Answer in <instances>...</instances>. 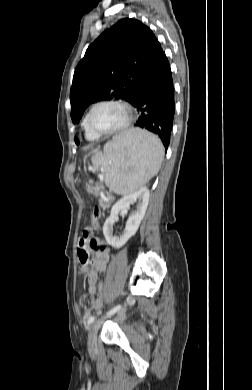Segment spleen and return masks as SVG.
<instances>
[{
    "instance_id": "1",
    "label": "spleen",
    "mask_w": 252,
    "mask_h": 390,
    "mask_svg": "<svg viewBox=\"0 0 252 390\" xmlns=\"http://www.w3.org/2000/svg\"><path fill=\"white\" fill-rule=\"evenodd\" d=\"M163 157L160 139L136 128L115 136L105 145L103 154L92 157V164L104 172L106 186L117 194L128 195L158 173Z\"/></svg>"
}]
</instances>
